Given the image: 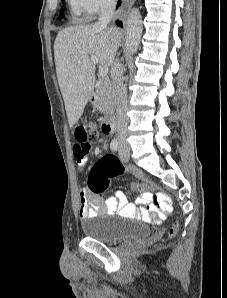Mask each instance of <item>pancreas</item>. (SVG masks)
I'll use <instances>...</instances> for the list:
<instances>
[{
	"instance_id": "cf45deb5",
	"label": "pancreas",
	"mask_w": 227,
	"mask_h": 298,
	"mask_svg": "<svg viewBox=\"0 0 227 298\" xmlns=\"http://www.w3.org/2000/svg\"><path fill=\"white\" fill-rule=\"evenodd\" d=\"M96 102L95 107L104 115L112 114L115 110V98L112 90V84L105 78L96 84Z\"/></svg>"
}]
</instances>
